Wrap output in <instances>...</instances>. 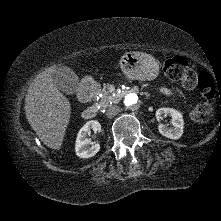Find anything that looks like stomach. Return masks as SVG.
I'll return each instance as SVG.
<instances>
[{"mask_svg":"<svg viewBox=\"0 0 221 221\" xmlns=\"http://www.w3.org/2000/svg\"><path fill=\"white\" fill-rule=\"evenodd\" d=\"M120 67L128 78L140 81L154 80L160 69L153 56L139 51L126 52L121 57Z\"/></svg>","mask_w":221,"mask_h":221,"instance_id":"obj_1","label":"stomach"}]
</instances>
